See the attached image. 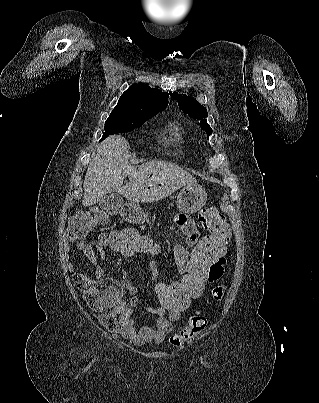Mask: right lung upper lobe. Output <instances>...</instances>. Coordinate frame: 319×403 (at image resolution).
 <instances>
[{
	"label": "right lung upper lobe",
	"mask_w": 319,
	"mask_h": 403,
	"mask_svg": "<svg viewBox=\"0 0 319 403\" xmlns=\"http://www.w3.org/2000/svg\"><path fill=\"white\" fill-rule=\"evenodd\" d=\"M168 93L144 84H133L126 90L113 111L133 118H148L168 105Z\"/></svg>",
	"instance_id": "1"
}]
</instances>
